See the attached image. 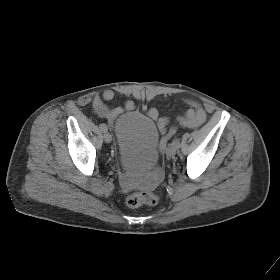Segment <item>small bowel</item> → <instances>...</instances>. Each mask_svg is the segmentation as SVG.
Listing matches in <instances>:
<instances>
[{
  "label": "small bowel",
  "instance_id": "small-bowel-1",
  "mask_svg": "<svg viewBox=\"0 0 280 280\" xmlns=\"http://www.w3.org/2000/svg\"><path fill=\"white\" fill-rule=\"evenodd\" d=\"M114 96L113 90H106L101 95H96L92 102L93 112L99 117L106 119L109 123H112L124 111H130L134 108V102L131 100L126 101L122 107H110L107 102L111 101ZM186 103L189 105V109L183 115L177 117V122L187 128L201 126L206 120V111L195 100L186 99ZM147 113L149 117L156 121L158 128L163 134L160 143L163 149L174 133L175 128L169 127V118L160 117L156 108H150Z\"/></svg>",
  "mask_w": 280,
  "mask_h": 280
}]
</instances>
